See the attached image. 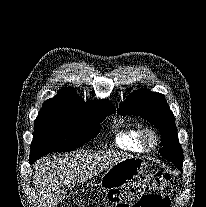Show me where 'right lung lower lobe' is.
Returning <instances> with one entry per match:
<instances>
[{"label":"right lung lower lobe","mask_w":206,"mask_h":207,"mask_svg":"<svg viewBox=\"0 0 206 207\" xmlns=\"http://www.w3.org/2000/svg\"><path fill=\"white\" fill-rule=\"evenodd\" d=\"M37 159H39V158L38 157H30L29 163L33 164Z\"/></svg>","instance_id":"1"}]
</instances>
